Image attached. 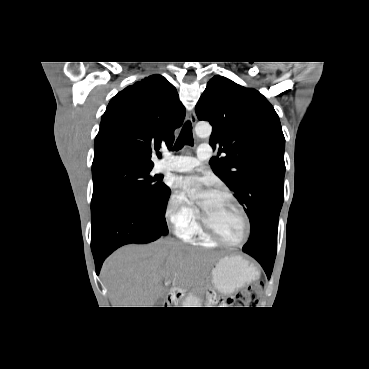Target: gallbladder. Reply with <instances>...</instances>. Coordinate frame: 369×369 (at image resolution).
<instances>
[{
    "label": "gallbladder",
    "instance_id": "bac80fb5",
    "mask_svg": "<svg viewBox=\"0 0 369 369\" xmlns=\"http://www.w3.org/2000/svg\"><path fill=\"white\" fill-rule=\"evenodd\" d=\"M159 306H162L161 302H158Z\"/></svg>",
    "mask_w": 369,
    "mask_h": 369
}]
</instances>
